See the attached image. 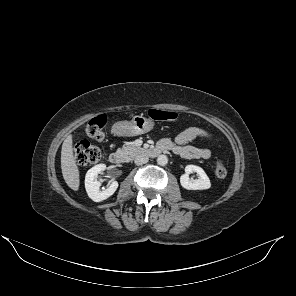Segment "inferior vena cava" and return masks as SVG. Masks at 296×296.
<instances>
[{
    "label": "inferior vena cava",
    "instance_id": "602c4592",
    "mask_svg": "<svg viewBox=\"0 0 296 296\" xmlns=\"http://www.w3.org/2000/svg\"><path fill=\"white\" fill-rule=\"evenodd\" d=\"M148 160H149L148 156H146L144 154H140L135 157L134 162L136 165H143V164L147 163Z\"/></svg>",
    "mask_w": 296,
    "mask_h": 296
}]
</instances>
